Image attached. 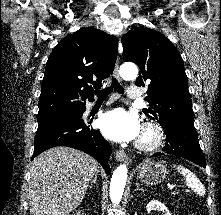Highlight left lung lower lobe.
<instances>
[{"label":"left lung lower lobe","mask_w":221,"mask_h":215,"mask_svg":"<svg viewBox=\"0 0 221 215\" xmlns=\"http://www.w3.org/2000/svg\"><path fill=\"white\" fill-rule=\"evenodd\" d=\"M161 126L165 130L167 142L163 151L154 154L153 157L171 154L206 167L194 123H167Z\"/></svg>","instance_id":"1"}]
</instances>
